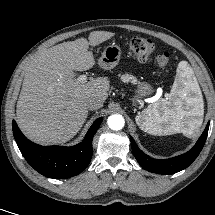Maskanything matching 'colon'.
<instances>
[{
	"label": "colon",
	"instance_id": "5ec220e1",
	"mask_svg": "<svg viewBox=\"0 0 215 215\" xmlns=\"http://www.w3.org/2000/svg\"><path fill=\"white\" fill-rule=\"evenodd\" d=\"M128 46L133 56L140 60H147L155 52V44L146 38L132 37L128 40ZM157 63L161 68L168 65L170 61V54L168 52H162L157 55Z\"/></svg>",
	"mask_w": 215,
	"mask_h": 215
}]
</instances>
